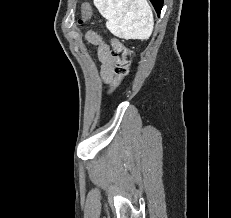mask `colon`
Returning <instances> with one entry per match:
<instances>
[{"mask_svg":"<svg viewBox=\"0 0 231 218\" xmlns=\"http://www.w3.org/2000/svg\"><path fill=\"white\" fill-rule=\"evenodd\" d=\"M91 16V7L85 3L82 7V18L80 23L85 22ZM111 54L115 60L114 78L107 91V96L112 95L121 83V80L128 74L130 67L129 49L117 38L111 40Z\"/></svg>","mask_w":231,"mask_h":218,"instance_id":"obj_1","label":"colon"}]
</instances>
